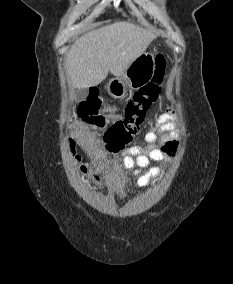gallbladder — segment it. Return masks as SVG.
Instances as JSON below:
<instances>
[{
	"label": "gallbladder",
	"mask_w": 233,
	"mask_h": 284,
	"mask_svg": "<svg viewBox=\"0 0 233 284\" xmlns=\"http://www.w3.org/2000/svg\"><path fill=\"white\" fill-rule=\"evenodd\" d=\"M87 95H88L87 89L78 90V91L76 92V100H77L78 102L83 101V100L86 99Z\"/></svg>",
	"instance_id": "obj_1"
}]
</instances>
